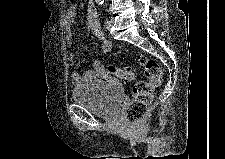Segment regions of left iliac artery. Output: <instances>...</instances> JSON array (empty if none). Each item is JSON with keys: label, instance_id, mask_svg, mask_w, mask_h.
Wrapping results in <instances>:
<instances>
[{"label": "left iliac artery", "instance_id": "1", "mask_svg": "<svg viewBox=\"0 0 225 159\" xmlns=\"http://www.w3.org/2000/svg\"><path fill=\"white\" fill-rule=\"evenodd\" d=\"M108 24V20H106L105 22H104V26H106Z\"/></svg>", "mask_w": 225, "mask_h": 159}]
</instances>
